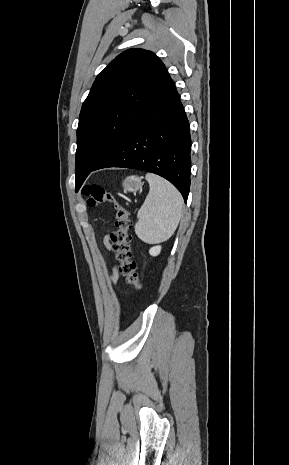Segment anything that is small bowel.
I'll return each mask as SVG.
<instances>
[{
    "label": "small bowel",
    "instance_id": "obj_1",
    "mask_svg": "<svg viewBox=\"0 0 289 465\" xmlns=\"http://www.w3.org/2000/svg\"><path fill=\"white\" fill-rule=\"evenodd\" d=\"M104 244H105V246L107 247V249H109V250L111 249V245H110L108 236H106V237L104 238ZM117 278H118V274H117V272L115 271V272L113 273V276H112L113 282H116V281H117Z\"/></svg>",
    "mask_w": 289,
    "mask_h": 465
}]
</instances>
